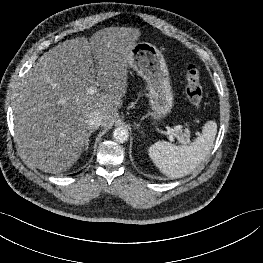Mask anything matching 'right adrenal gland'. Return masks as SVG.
Masks as SVG:
<instances>
[{
  "mask_svg": "<svg viewBox=\"0 0 263 263\" xmlns=\"http://www.w3.org/2000/svg\"><path fill=\"white\" fill-rule=\"evenodd\" d=\"M94 132V130H90L88 132V138H87V141H86V147H85V150L88 149V146H89V141H90V137H91V134Z\"/></svg>",
  "mask_w": 263,
  "mask_h": 263,
  "instance_id": "right-adrenal-gland-1",
  "label": "right adrenal gland"
}]
</instances>
